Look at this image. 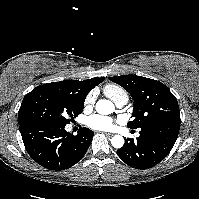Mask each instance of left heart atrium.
I'll return each instance as SVG.
<instances>
[{"label":"left heart atrium","instance_id":"1","mask_svg":"<svg viewBox=\"0 0 199 199\" xmlns=\"http://www.w3.org/2000/svg\"><path fill=\"white\" fill-rule=\"evenodd\" d=\"M87 124L96 130H108L114 125V121L110 117L95 114L88 118Z\"/></svg>","mask_w":199,"mask_h":199}]
</instances>
